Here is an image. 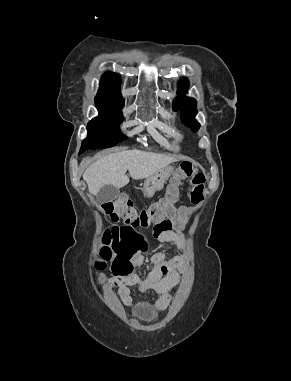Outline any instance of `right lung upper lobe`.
<instances>
[{
  "mask_svg": "<svg viewBox=\"0 0 291 381\" xmlns=\"http://www.w3.org/2000/svg\"><path fill=\"white\" fill-rule=\"evenodd\" d=\"M95 100L124 104L123 97L120 93V78L114 73H105L100 81V89Z\"/></svg>",
  "mask_w": 291,
  "mask_h": 381,
  "instance_id": "right-lung-upper-lobe-1",
  "label": "right lung upper lobe"
}]
</instances>
